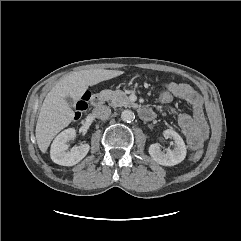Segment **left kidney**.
I'll use <instances>...</instances> for the list:
<instances>
[{"label": "left kidney", "instance_id": "1", "mask_svg": "<svg viewBox=\"0 0 241 241\" xmlns=\"http://www.w3.org/2000/svg\"><path fill=\"white\" fill-rule=\"evenodd\" d=\"M164 136L173 138L175 147L168 150L166 153L160 149L158 143L151 144L149 147V154L152 159L163 166H174L179 164L186 157V146L181 136L173 130H165Z\"/></svg>", "mask_w": 241, "mask_h": 241}]
</instances>
